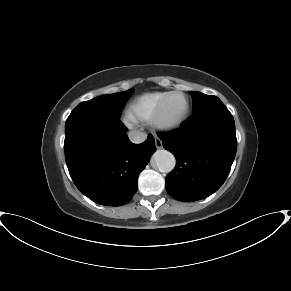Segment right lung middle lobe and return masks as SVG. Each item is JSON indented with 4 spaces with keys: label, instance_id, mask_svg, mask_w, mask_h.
<instances>
[{
    "label": "right lung middle lobe",
    "instance_id": "dd1d6c3e",
    "mask_svg": "<svg viewBox=\"0 0 291 291\" xmlns=\"http://www.w3.org/2000/svg\"><path fill=\"white\" fill-rule=\"evenodd\" d=\"M133 93V89L100 96L89 101H85L77 105L71 113L75 112H91L106 114L115 118H119L121 111L128 97Z\"/></svg>",
    "mask_w": 291,
    "mask_h": 291
}]
</instances>
